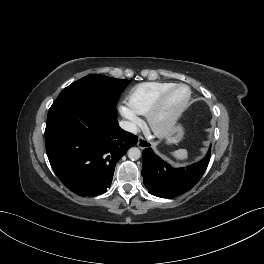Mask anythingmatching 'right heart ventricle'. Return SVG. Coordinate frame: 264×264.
<instances>
[{"label": "right heart ventricle", "mask_w": 264, "mask_h": 264, "mask_svg": "<svg viewBox=\"0 0 264 264\" xmlns=\"http://www.w3.org/2000/svg\"><path fill=\"white\" fill-rule=\"evenodd\" d=\"M171 82H144L134 86L127 95L128 107L136 114L145 115Z\"/></svg>", "instance_id": "e07e8e85"}]
</instances>
